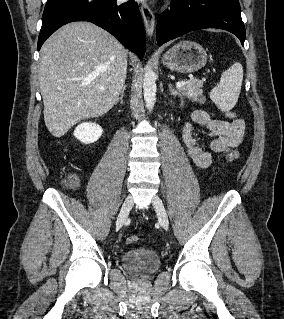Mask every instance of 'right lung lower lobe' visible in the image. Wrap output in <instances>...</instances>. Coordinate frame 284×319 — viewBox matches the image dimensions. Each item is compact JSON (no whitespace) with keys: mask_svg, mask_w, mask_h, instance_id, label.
<instances>
[{"mask_svg":"<svg viewBox=\"0 0 284 319\" xmlns=\"http://www.w3.org/2000/svg\"><path fill=\"white\" fill-rule=\"evenodd\" d=\"M73 21H89L105 29L140 58L146 46L145 29L135 2L116 4V0H47L38 50L61 26Z\"/></svg>","mask_w":284,"mask_h":319,"instance_id":"obj_1","label":"right lung lower lobe"}]
</instances>
